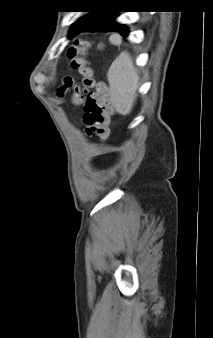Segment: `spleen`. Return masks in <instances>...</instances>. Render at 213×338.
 <instances>
[{"label":"spleen","mask_w":213,"mask_h":338,"mask_svg":"<svg viewBox=\"0 0 213 338\" xmlns=\"http://www.w3.org/2000/svg\"><path fill=\"white\" fill-rule=\"evenodd\" d=\"M107 77L113 107L119 114H129L137 97L140 77L127 51L121 52L113 61Z\"/></svg>","instance_id":"3e777b00"}]
</instances>
